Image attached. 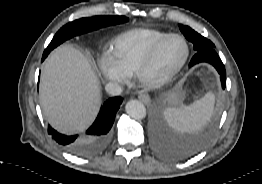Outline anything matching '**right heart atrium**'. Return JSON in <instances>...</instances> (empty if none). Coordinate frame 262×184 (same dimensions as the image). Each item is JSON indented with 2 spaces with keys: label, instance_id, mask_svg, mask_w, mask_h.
I'll return each instance as SVG.
<instances>
[{
  "label": "right heart atrium",
  "instance_id": "1",
  "mask_svg": "<svg viewBox=\"0 0 262 184\" xmlns=\"http://www.w3.org/2000/svg\"><path fill=\"white\" fill-rule=\"evenodd\" d=\"M98 70L105 80L116 84L124 83L128 77V74L109 54H105L99 59Z\"/></svg>",
  "mask_w": 262,
  "mask_h": 184
}]
</instances>
